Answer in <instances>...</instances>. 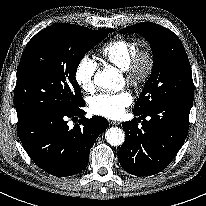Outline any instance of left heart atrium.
Segmentation results:
<instances>
[{"instance_id":"1","label":"left heart atrium","mask_w":206,"mask_h":206,"mask_svg":"<svg viewBox=\"0 0 206 206\" xmlns=\"http://www.w3.org/2000/svg\"><path fill=\"white\" fill-rule=\"evenodd\" d=\"M132 102L133 96L129 91L102 93L90 100L89 109L95 115L108 119H118Z\"/></svg>"}]
</instances>
